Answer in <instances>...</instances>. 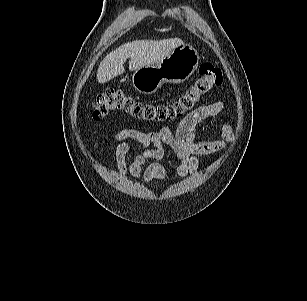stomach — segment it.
Segmentation results:
<instances>
[{"instance_id":"0dacf381","label":"stomach","mask_w":307,"mask_h":301,"mask_svg":"<svg viewBox=\"0 0 307 301\" xmlns=\"http://www.w3.org/2000/svg\"><path fill=\"white\" fill-rule=\"evenodd\" d=\"M198 63V52L192 46L183 44L174 48L158 63L135 70L132 83L138 92L152 94L164 83L178 84L189 79Z\"/></svg>"}]
</instances>
